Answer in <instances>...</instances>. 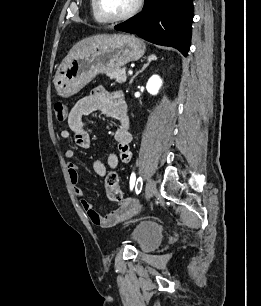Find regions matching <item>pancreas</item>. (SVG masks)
<instances>
[{"mask_svg":"<svg viewBox=\"0 0 261 306\" xmlns=\"http://www.w3.org/2000/svg\"><path fill=\"white\" fill-rule=\"evenodd\" d=\"M107 76L110 77V79H114L118 83H124L126 81V69H117L113 70L109 73H107Z\"/></svg>","mask_w":261,"mask_h":306,"instance_id":"pancreas-1","label":"pancreas"}]
</instances>
